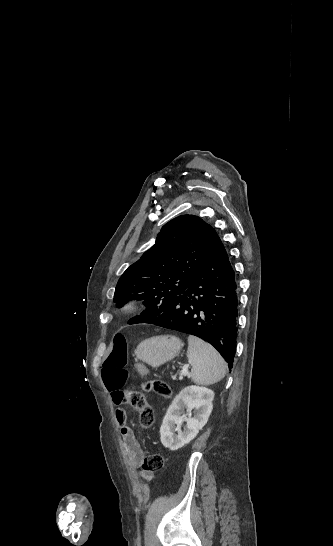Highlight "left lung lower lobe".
<instances>
[{"label":"left lung lower lobe","instance_id":"0a47b994","mask_svg":"<svg viewBox=\"0 0 333 546\" xmlns=\"http://www.w3.org/2000/svg\"><path fill=\"white\" fill-rule=\"evenodd\" d=\"M238 289L227 251L217 236L190 286L154 321L137 316L129 324L154 325L195 335L209 342L233 367L236 352Z\"/></svg>","mask_w":333,"mask_h":546}]
</instances>
